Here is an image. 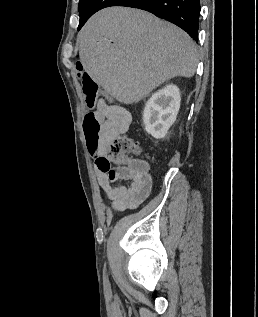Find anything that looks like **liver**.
Masks as SVG:
<instances>
[{
	"label": "liver",
	"instance_id": "obj_1",
	"mask_svg": "<svg viewBox=\"0 0 258 317\" xmlns=\"http://www.w3.org/2000/svg\"><path fill=\"white\" fill-rule=\"evenodd\" d=\"M78 38L84 70L106 96L125 104L138 102L173 76H193L198 62L187 32L138 8H102Z\"/></svg>",
	"mask_w": 258,
	"mask_h": 317
}]
</instances>
